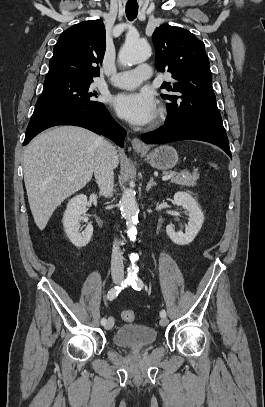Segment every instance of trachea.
<instances>
[{
    "label": "trachea",
    "mask_w": 265,
    "mask_h": 407,
    "mask_svg": "<svg viewBox=\"0 0 265 407\" xmlns=\"http://www.w3.org/2000/svg\"><path fill=\"white\" fill-rule=\"evenodd\" d=\"M137 14L138 7L126 6V16L130 21L134 20L137 17Z\"/></svg>",
    "instance_id": "3493384b"
}]
</instances>
